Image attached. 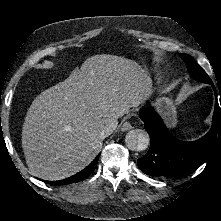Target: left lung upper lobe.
<instances>
[{
    "mask_svg": "<svg viewBox=\"0 0 221 221\" xmlns=\"http://www.w3.org/2000/svg\"><path fill=\"white\" fill-rule=\"evenodd\" d=\"M180 57L187 65L188 71L194 80L204 83H210L212 80L204 72V70L195 62V60L188 54H180Z\"/></svg>",
    "mask_w": 221,
    "mask_h": 221,
    "instance_id": "obj_1",
    "label": "left lung upper lobe"
}]
</instances>
